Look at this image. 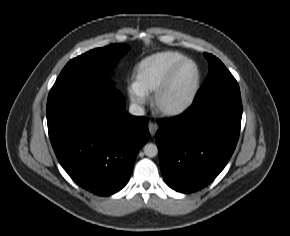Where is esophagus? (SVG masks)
<instances>
[{"instance_id": "34e87169", "label": "esophagus", "mask_w": 290, "mask_h": 236, "mask_svg": "<svg viewBox=\"0 0 290 236\" xmlns=\"http://www.w3.org/2000/svg\"><path fill=\"white\" fill-rule=\"evenodd\" d=\"M148 129H149L151 136H154L157 129H158V125L156 123L149 122Z\"/></svg>"}]
</instances>
